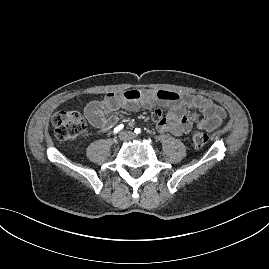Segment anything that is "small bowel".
<instances>
[{"label": "small bowel", "mask_w": 269, "mask_h": 269, "mask_svg": "<svg viewBox=\"0 0 269 269\" xmlns=\"http://www.w3.org/2000/svg\"><path fill=\"white\" fill-rule=\"evenodd\" d=\"M166 105L168 113L152 115L157 130L181 136L193 126L207 131L219 128L226 118L225 110L204 96H181L172 91L129 90L110 92L102 99L89 103L85 115L93 126L103 131L112 129L120 121L116 112L120 109L134 110L139 107Z\"/></svg>", "instance_id": "c3829d8e"}]
</instances>
